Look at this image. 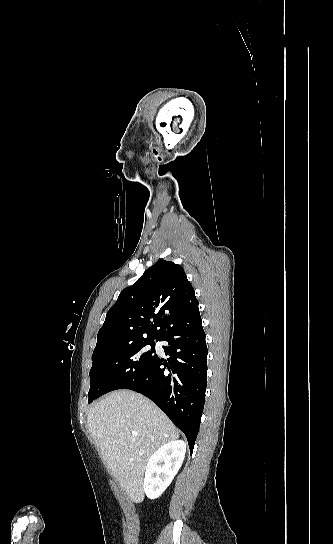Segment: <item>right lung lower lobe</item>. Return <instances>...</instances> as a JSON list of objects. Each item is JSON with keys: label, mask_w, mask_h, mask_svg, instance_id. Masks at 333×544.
Returning <instances> with one entry per match:
<instances>
[{"label": "right lung lower lobe", "mask_w": 333, "mask_h": 544, "mask_svg": "<svg viewBox=\"0 0 333 544\" xmlns=\"http://www.w3.org/2000/svg\"><path fill=\"white\" fill-rule=\"evenodd\" d=\"M167 360L158 356L145 371L122 389L151 399L183 431L193 451L205 404L207 346L200 314L183 321L158 339ZM168 361V362H167Z\"/></svg>", "instance_id": "1"}]
</instances>
